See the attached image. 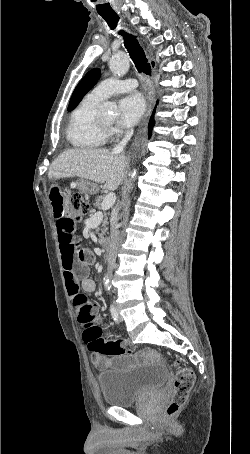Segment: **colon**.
I'll return each mask as SVG.
<instances>
[{"mask_svg":"<svg viewBox=\"0 0 250 454\" xmlns=\"http://www.w3.org/2000/svg\"><path fill=\"white\" fill-rule=\"evenodd\" d=\"M88 211L87 200L79 193H74L70 202V219L75 223L80 222ZM81 323L84 326L83 339L90 351L107 356H121L131 354L134 351V346L127 340H107L98 316H85ZM174 367V392L166 408V413L169 416L175 415L187 402L195 382L192 369L180 366L177 363L174 364Z\"/></svg>","mask_w":250,"mask_h":454,"instance_id":"1","label":"colon"}]
</instances>
